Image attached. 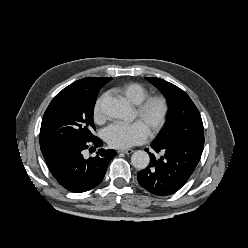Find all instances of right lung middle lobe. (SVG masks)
Listing matches in <instances>:
<instances>
[{
  "label": "right lung middle lobe",
  "mask_w": 248,
  "mask_h": 248,
  "mask_svg": "<svg viewBox=\"0 0 248 248\" xmlns=\"http://www.w3.org/2000/svg\"><path fill=\"white\" fill-rule=\"evenodd\" d=\"M99 91L85 94L75 91L58 93L46 109L40 129L42 153L65 142L91 140L95 136L93 112Z\"/></svg>",
  "instance_id": "obj_1"
}]
</instances>
